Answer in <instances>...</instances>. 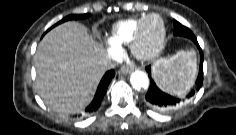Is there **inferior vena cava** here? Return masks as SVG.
I'll list each match as a JSON object with an SVG mask.
<instances>
[{
    "instance_id": "inferior-vena-cava-1",
    "label": "inferior vena cava",
    "mask_w": 236,
    "mask_h": 135,
    "mask_svg": "<svg viewBox=\"0 0 236 135\" xmlns=\"http://www.w3.org/2000/svg\"><path fill=\"white\" fill-rule=\"evenodd\" d=\"M117 65L116 61H114L113 59H111L110 57H108L105 61H104V67L106 70L115 68Z\"/></svg>"
}]
</instances>
